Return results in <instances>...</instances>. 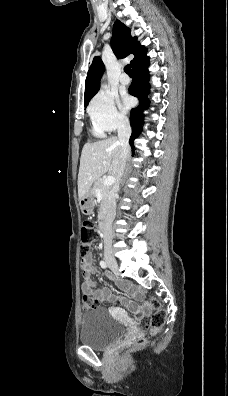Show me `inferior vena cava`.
Returning <instances> with one entry per match:
<instances>
[{
    "label": "inferior vena cava",
    "instance_id": "obj_1",
    "mask_svg": "<svg viewBox=\"0 0 228 396\" xmlns=\"http://www.w3.org/2000/svg\"><path fill=\"white\" fill-rule=\"evenodd\" d=\"M131 136V127L128 119H121L118 122V140L122 146V161L119 167L117 182L112 189V193L107 205V225L104 230V251L106 254H112V222L116 214V194L119 191V183L124 173L126 159L130 153L129 138Z\"/></svg>",
    "mask_w": 228,
    "mask_h": 396
}]
</instances>
